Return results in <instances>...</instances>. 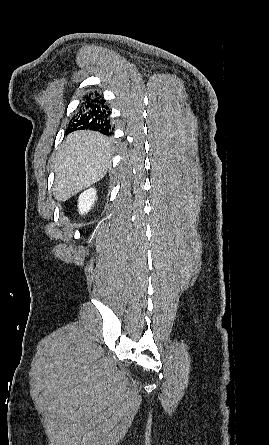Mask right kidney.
Instances as JSON below:
<instances>
[{"label":"right kidney","mask_w":269,"mask_h":445,"mask_svg":"<svg viewBox=\"0 0 269 445\" xmlns=\"http://www.w3.org/2000/svg\"><path fill=\"white\" fill-rule=\"evenodd\" d=\"M96 190L94 188H89L80 194L78 199V209L80 214L87 213L91 207L94 205L96 200Z\"/></svg>","instance_id":"right-kidney-1"}]
</instances>
